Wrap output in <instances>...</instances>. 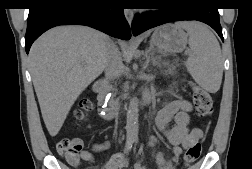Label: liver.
<instances>
[{
	"mask_svg": "<svg viewBox=\"0 0 252 169\" xmlns=\"http://www.w3.org/2000/svg\"><path fill=\"white\" fill-rule=\"evenodd\" d=\"M110 37L86 26H59L31 46L29 68L51 136L60 131L79 95L105 69Z\"/></svg>",
	"mask_w": 252,
	"mask_h": 169,
	"instance_id": "6515ba94",
	"label": "liver"
}]
</instances>
